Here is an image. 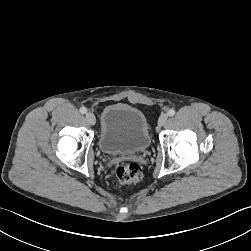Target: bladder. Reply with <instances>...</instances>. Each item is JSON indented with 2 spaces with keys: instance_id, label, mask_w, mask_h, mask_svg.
<instances>
[{
  "instance_id": "31cf9c89",
  "label": "bladder",
  "mask_w": 251,
  "mask_h": 251,
  "mask_svg": "<svg viewBox=\"0 0 251 251\" xmlns=\"http://www.w3.org/2000/svg\"><path fill=\"white\" fill-rule=\"evenodd\" d=\"M99 147L108 155L144 152L151 143L148 122L138 108L124 103L106 106L101 113Z\"/></svg>"
}]
</instances>
